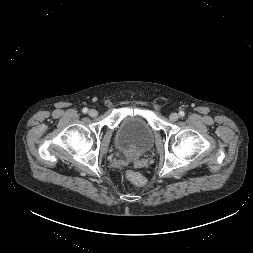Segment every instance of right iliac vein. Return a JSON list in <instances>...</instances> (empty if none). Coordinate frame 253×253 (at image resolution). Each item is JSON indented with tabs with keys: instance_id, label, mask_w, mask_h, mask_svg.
<instances>
[{
	"instance_id": "63e3f726",
	"label": "right iliac vein",
	"mask_w": 253,
	"mask_h": 253,
	"mask_svg": "<svg viewBox=\"0 0 253 253\" xmlns=\"http://www.w3.org/2000/svg\"><path fill=\"white\" fill-rule=\"evenodd\" d=\"M88 114H89L91 117H96V116L98 115V112H97V110H95V109H90V110L88 111Z\"/></svg>"
}]
</instances>
